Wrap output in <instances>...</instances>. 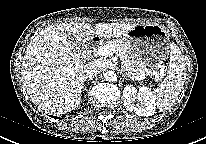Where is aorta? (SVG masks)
Returning a JSON list of instances; mask_svg holds the SVG:
<instances>
[{"mask_svg": "<svg viewBox=\"0 0 206 144\" xmlns=\"http://www.w3.org/2000/svg\"><path fill=\"white\" fill-rule=\"evenodd\" d=\"M104 78L106 81L111 83L117 81L116 73L110 70L105 73Z\"/></svg>", "mask_w": 206, "mask_h": 144, "instance_id": "aorta-1", "label": "aorta"}]
</instances>
